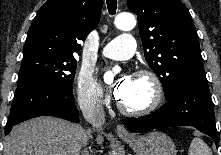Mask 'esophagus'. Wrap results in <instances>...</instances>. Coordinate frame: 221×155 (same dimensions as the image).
<instances>
[{
    "label": "esophagus",
    "instance_id": "34e87169",
    "mask_svg": "<svg viewBox=\"0 0 221 155\" xmlns=\"http://www.w3.org/2000/svg\"><path fill=\"white\" fill-rule=\"evenodd\" d=\"M116 132L122 138H129V137H131V134L128 132V130L122 124H118L117 125Z\"/></svg>",
    "mask_w": 221,
    "mask_h": 155
}]
</instances>
